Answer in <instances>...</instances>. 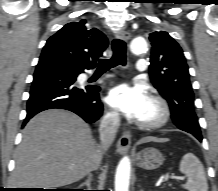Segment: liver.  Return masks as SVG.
I'll return each instance as SVG.
<instances>
[{
  "instance_id": "1",
  "label": "liver",
  "mask_w": 218,
  "mask_h": 191,
  "mask_svg": "<svg viewBox=\"0 0 218 191\" xmlns=\"http://www.w3.org/2000/svg\"><path fill=\"white\" fill-rule=\"evenodd\" d=\"M168 140L145 137L139 143ZM97 149L89 125L79 116L60 109L43 111L23 130L12 183L43 189L72 184L96 168Z\"/></svg>"
}]
</instances>
